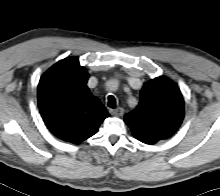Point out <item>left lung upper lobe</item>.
<instances>
[{
  "instance_id": "1",
  "label": "left lung upper lobe",
  "mask_w": 220,
  "mask_h": 196,
  "mask_svg": "<svg viewBox=\"0 0 220 196\" xmlns=\"http://www.w3.org/2000/svg\"><path fill=\"white\" fill-rule=\"evenodd\" d=\"M184 118V100L179 88L164 76L146 82L135 110L124 116L139 141L153 145L170 138Z\"/></svg>"
}]
</instances>
